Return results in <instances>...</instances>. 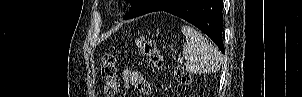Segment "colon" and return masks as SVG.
<instances>
[{
  "label": "colon",
  "instance_id": "obj_1",
  "mask_svg": "<svg viewBox=\"0 0 302 97\" xmlns=\"http://www.w3.org/2000/svg\"><path fill=\"white\" fill-rule=\"evenodd\" d=\"M140 52L149 60L155 68H163L164 61L161 53L156 48L152 40L140 36L136 40ZM101 73L104 79L103 90L106 97H114L118 89L116 57L108 53L102 57ZM176 80L183 85H188L191 77L183 68L176 67L172 71Z\"/></svg>",
  "mask_w": 302,
  "mask_h": 97
}]
</instances>
